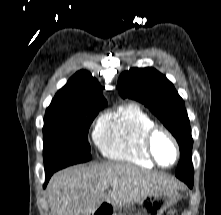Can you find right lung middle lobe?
I'll use <instances>...</instances> for the list:
<instances>
[{
    "label": "right lung middle lobe",
    "mask_w": 221,
    "mask_h": 215,
    "mask_svg": "<svg viewBox=\"0 0 221 215\" xmlns=\"http://www.w3.org/2000/svg\"><path fill=\"white\" fill-rule=\"evenodd\" d=\"M102 104L49 106L44 117L45 173L91 160L88 130Z\"/></svg>",
    "instance_id": "dd1d6c3e"
}]
</instances>
